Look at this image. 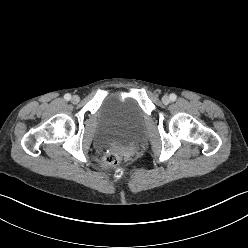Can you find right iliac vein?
Listing matches in <instances>:
<instances>
[{"label":"right iliac vein","mask_w":248,"mask_h":248,"mask_svg":"<svg viewBox=\"0 0 248 248\" xmlns=\"http://www.w3.org/2000/svg\"><path fill=\"white\" fill-rule=\"evenodd\" d=\"M71 101L72 103L76 104L80 101V98L78 95H74L72 98H71Z\"/></svg>","instance_id":"1"}]
</instances>
